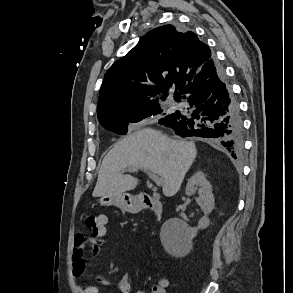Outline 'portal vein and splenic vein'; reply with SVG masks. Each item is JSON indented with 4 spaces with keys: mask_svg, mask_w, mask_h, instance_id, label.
<instances>
[{
    "mask_svg": "<svg viewBox=\"0 0 293 293\" xmlns=\"http://www.w3.org/2000/svg\"><path fill=\"white\" fill-rule=\"evenodd\" d=\"M136 170H138V168H135V167L129 168V171H136ZM144 171L147 173L149 178H151L156 183L157 186H161L163 184V180L159 175L149 172L147 170H144Z\"/></svg>",
    "mask_w": 293,
    "mask_h": 293,
    "instance_id": "obj_1",
    "label": "portal vein and splenic vein"
}]
</instances>
